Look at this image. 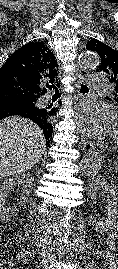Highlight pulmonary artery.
<instances>
[{"label": "pulmonary artery", "mask_w": 118, "mask_h": 269, "mask_svg": "<svg viewBox=\"0 0 118 269\" xmlns=\"http://www.w3.org/2000/svg\"><path fill=\"white\" fill-rule=\"evenodd\" d=\"M87 84L92 88V89H101L104 86V80L101 76L98 75H93L87 80Z\"/></svg>", "instance_id": "e3ab8cb5"}]
</instances>
